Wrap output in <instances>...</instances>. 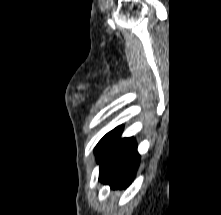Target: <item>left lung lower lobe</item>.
Instances as JSON below:
<instances>
[{
  "label": "left lung lower lobe",
  "mask_w": 221,
  "mask_h": 215,
  "mask_svg": "<svg viewBox=\"0 0 221 215\" xmlns=\"http://www.w3.org/2000/svg\"><path fill=\"white\" fill-rule=\"evenodd\" d=\"M122 126L106 134L97 155L100 164L99 180L111 188H125L133 180L140 156L137 145L131 138H121Z\"/></svg>",
  "instance_id": "1"
}]
</instances>
